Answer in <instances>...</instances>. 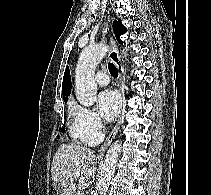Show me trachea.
<instances>
[{
  "label": "trachea",
  "mask_w": 211,
  "mask_h": 195,
  "mask_svg": "<svg viewBox=\"0 0 211 195\" xmlns=\"http://www.w3.org/2000/svg\"><path fill=\"white\" fill-rule=\"evenodd\" d=\"M108 69H109L110 74L114 78L118 77V70H117V68L115 67V65L113 63H109Z\"/></svg>",
  "instance_id": "obj_1"
}]
</instances>
